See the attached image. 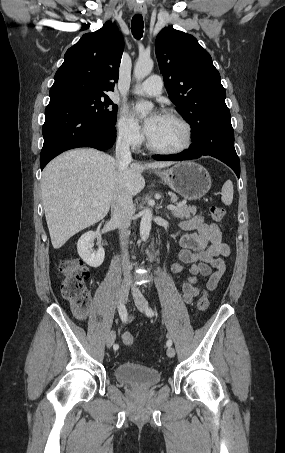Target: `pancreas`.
Segmentation results:
<instances>
[{
	"instance_id": "cf45deb5",
	"label": "pancreas",
	"mask_w": 285,
	"mask_h": 453,
	"mask_svg": "<svg viewBox=\"0 0 285 453\" xmlns=\"http://www.w3.org/2000/svg\"><path fill=\"white\" fill-rule=\"evenodd\" d=\"M171 201L176 204V209L172 210V215L179 219H190L197 212L195 206H187L181 202H178V198L172 195Z\"/></svg>"
}]
</instances>
